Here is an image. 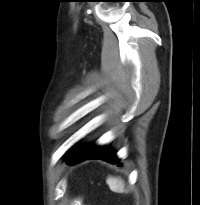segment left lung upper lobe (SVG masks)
<instances>
[{
  "mask_svg": "<svg viewBox=\"0 0 200 205\" xmlns=\"http://www.w3.org/2000/svg\"><path fill=\"white\" fill-rule=\"evenodd\" d=\"M72 152H73V150H72L68 155H70ZM68 155H67V156H68Z\"/></svg>",
  "mask_w": 200,
  "mask_h": 205,
  "instance_id": "1",
  "label": "left lung upper lobe"
}]
</instances>
